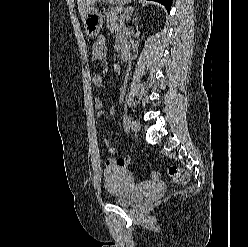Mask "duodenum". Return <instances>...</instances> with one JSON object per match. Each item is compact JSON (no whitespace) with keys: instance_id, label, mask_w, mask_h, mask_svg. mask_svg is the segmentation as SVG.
<instances>
[{"instance_id":"1","label":"duodenum","mask_w":248,"mask_h":247,"mask_svg":"<svg viewBox=\"0 0 248 247\" xmlns=\"http://www.w3.org/2000/svg\"><path fill=\"white\" fill-rule=\"evenodd\" d=\"M120 57H121V60L123 62H127L128 58H129L128 52H126L125 50H122Z\"/></svg>"}]
</instances>
